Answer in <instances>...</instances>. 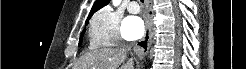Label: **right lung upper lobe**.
<instances>
[{
  "label": "right lung upper lobe",
  "instance_id": "right-lung-upper-lobe-1",
  "mask_svg": "<svg viewBox=\"0 0 246 69\" xmlns=\"http://www.w3.org/2000/svg\"><path fill=\"white\" fill-rule=\"evenodd\" d=\"M110 0H96L90 13L89 16L87 18V20H89L91 18V16L98 11L99 9H101L102 7L106 6L109 3Z\"/></svg>",
  "mask_w": 246,
  "mask_h": 69
}]
</instances>
